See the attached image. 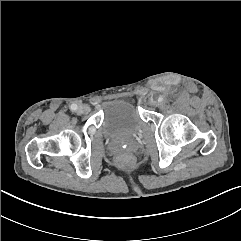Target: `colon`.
Masks as SVG:
<instances>
[{"label":"colon","mask_w":241,"mask_h":241,"mask_svg":"<svg viewBox=\"0 0 241 241\" xmlns=\"http://www.w3.org/2000/svg\"><path fill=\"white\" fill-rule=\"evenodd\" d=\"M118 161H119V163L120 164H122V165H129L131 162H132V160H131V158L130 157H120L119 159H118Z\"/></svg>","instance_id":"5ec220e1"}]
</instances>
